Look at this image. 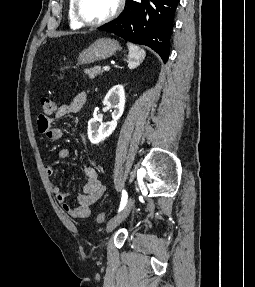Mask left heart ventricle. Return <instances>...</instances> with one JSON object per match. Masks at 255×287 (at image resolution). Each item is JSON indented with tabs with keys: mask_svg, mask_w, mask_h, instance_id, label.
Here are the masks:
<instances>
[{
	"mask_svg": "<svg viewBox=\"0 0 255 287\" xmlns=\"http://www.w3.org/2000/svg\"><path fill=\"white\" fill-rule=\"evenodd\" d=\"M96 33H107V32H96ZM106 48H115V47H106Z\"/></svg>",
	"mask_w": 255,
	"mask_h": 287,
	"instance_id": "b2bd125f",
	"label": "left heart ventricle"
}]
</instances>
